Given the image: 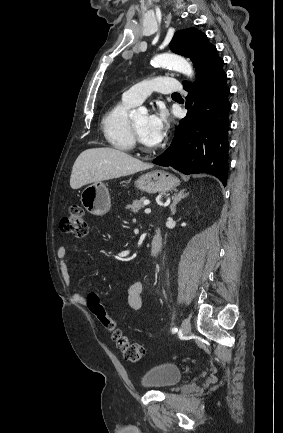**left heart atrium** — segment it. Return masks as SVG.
Segmentation results:
<instances>
[{"instance_id":"39dd6f15","label":"left heart atrium","mask_w":283,"mask_h":433,"mask_svg":"<svg viewBox=\"0 0 283 433\" xmlns=\"http://www.w3.org/2000/svg\"><path fill=\"white\" fill-rule=\"evenodd\" d=\"M158 111H161V109ZM168 127L167 118L162 112L151 114L148 117L145 131L141 135V140L146 148L156 150L164 140Z\"/></svg>"}]
</instances>
